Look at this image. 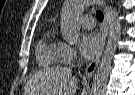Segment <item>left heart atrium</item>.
<instances>
[{"label": "left heart atrium", "mask_w": 135, "mask_h": 95, "mask_svg": "<svg viewBox=\"0 0 135 95\" xmlns=\"http://www.w3.org/2000/svg\"><path fill=\"white\" fill-rule=\"evenodd\" d=\"M102 47V40L96 33H86L82 35L79 42V50L85 59L96 56Z\"/></svg>", "instance_id": "obj_1"}]
</instances>
